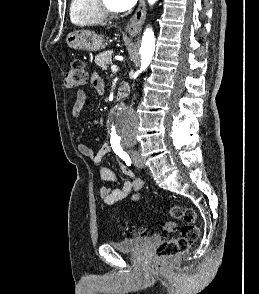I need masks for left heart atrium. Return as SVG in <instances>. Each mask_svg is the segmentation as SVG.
<instances>
[{"label":"left heart atrium","mask_w":259,"mask_h":294,"mask_svg":"<svg viewBox=\"0 0 259 294\" xmlns=\"http://www.w3.org/2000/svg\"><path fill=\"white\" fill-rule=\"evenodd\" d=\"M117 10L124 11L132 8L137 0H113Z\"/></svg>","instance_id":"left-heart-atrium-1"}]
</instances>
